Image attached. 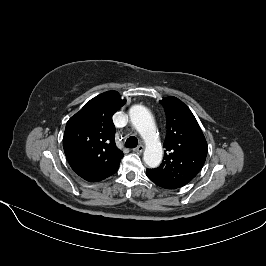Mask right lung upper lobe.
I'll return each mask as SVG.
<instances>
[{"label":"right lung upper lobe","instance_id":"cb5924a9","mask_svg":"<svg viewBox=\"0 0 266 266\" xmlns=\"http://www.w3.org/2000/svg\"><path fill=\"white\" fill-rule=\"evenodd\" d=\"M116 91L102 93L71 117L63 148L76 174L88 182L101 181L119 168L123 153L115 145L113 114L125 104Z\"/></svg>","mask_w":266,"mask_h":266}]
</instances>
